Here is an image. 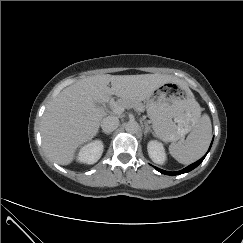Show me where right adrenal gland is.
I'll use <instances>...</instances> for the list:
<instances>
[{
  "mask_svg": "<svg viewBox=\"0 0 243 243\" xmlns=\"http://www.w3.org/2000/svg\"><path fill=\"white\" fill-rule=\"evenodd\" d=\"M103 133H105V134H107V135H109V134H110L109 132H104V131H103Z\"/></svg>",
  "mask_w": 243,
  "mask_h": 243,
  "instance_id": "2a0ac1e0",
  "label": "right adrenal gland"
}]
</instances>
